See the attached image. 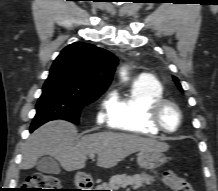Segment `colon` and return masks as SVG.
<instances>
[{
  "instance_id": "colon-1",
  "label": "colon",
  "mask_w": 218,
  "mask_h": 191,
  "mask_svg": "<svg viewBox=\"0 0 218 191\" xmlns=\"http://www.w3.org/2000/svg\"><path fill=\"white\" fill-rule=\"evenodd\" d=\"M162 180L173 191H194L186 178L176 175L171 169L163 171ZM22 191H65L64 181L56 176L37 173L25 181Z\"/></svg>"
}]
</instances>
